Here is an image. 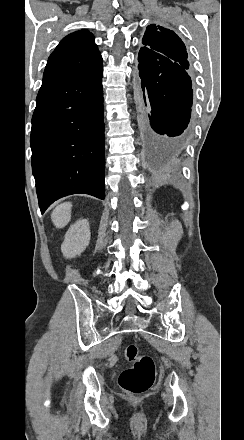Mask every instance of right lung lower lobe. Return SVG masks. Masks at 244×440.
<instances>
[{"label": "right lung lower lobe", "mask_w": 244, "mask_h": 440, "mask_svg": "<svg viewBox=\"0 0 244 440\" xmlns=\"http://www.w3.org/2000/svg\"><path fill=\"white\" fill-rule=\"evenodd\" d=\"M102 62L43 77L32 117V170L41 212L76 193L105 198Z\"/></svg>", "instance_id": "obj_1"}]
</instances>
